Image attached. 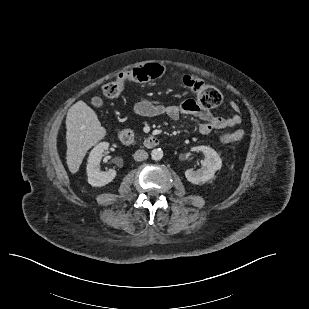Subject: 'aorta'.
Here are the masks:
<instances>
[{"mask_svg":"<svg viewBox=\"0 0 309 309\" xmlns=\"http://www.w3.org/2000/svg\"><path fill=\"white\" fill-rule=\"evenodd\" d=\"M151 157L153 160H161L163 158V151L160 148L153 149L151 151Z\"/></svg>","mask_w":309,"mask_h":309,"instance_id":"obj_1","label":"aorta"}]
</instances>
